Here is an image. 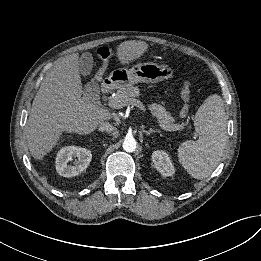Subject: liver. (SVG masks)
Here are the masks:
<instances>
[{"mask_svg":"<svg viewBox=\"0 0 261 261\" xmlns=\"http://www.w3.org/2000/svg\"><path fill=\"white\" fill-rule=\"evenodd\" d=\"M147 49V43L130 40L118 46L116 55L124 65L141 57ZM81 95L79 55L75 53L46 74L33 100L26 124V141L32 157L41 160L57 144L62 132L89 134L110 119L107 109Z\"/></svg>","mask_w":261,"mask_h":261,"instance_id":"obj_1","label":"liver"}]
</instances>
